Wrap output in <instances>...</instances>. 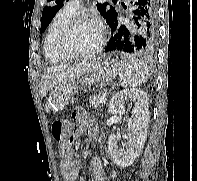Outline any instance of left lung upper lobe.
I'll use <instances>...</instances> for the list:
<instances>
[{
	"mask_svg": "<svg viewBox=\"0 0 197 181\" xmlns=\"http://www.w3.org/2000/svg\"><path fill=\"white\" fill-rule=\"evenodd\" d=\"M68 0H47V2H52V6H46L42 12L41 19V33L44 32L48 24L52 21L58 10L63 6V4ZM107 3L99 4L97 3V8L100 14L104 17L107 24L114 19H117V13L114 7L107 6Z\"/></svg>",
	"mask_w": 197,
	"mask_h": 181,
	"instance_id": "1",
	"label": "left lung upper lobe"
}]
</instances>
